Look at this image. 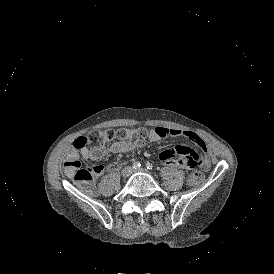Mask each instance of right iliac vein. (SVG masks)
<instances>
[{
  "instance_id": "obj_1",
  "label": "right iliac vein",
  "mask_w": 274,
  "mask_h": 274,
  "mask_svg": "<svg viewBox=\"0 0 274 274\" xmlns=\"http://www.w3.org/2000/svg\"><path fill=\"white\" fill-rule=\"evenodd\" d=\"M132 173V169L130 167H126L122 170L121 174L124 178H128Z\"/></svg>"
}]
</instances>
